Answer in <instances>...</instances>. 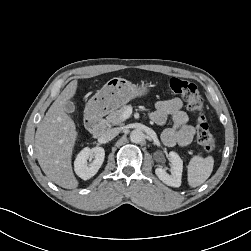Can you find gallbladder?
<instances>
[{
    "instance_id": "bac80fb5",
    "label": "gallbladder",
    "mask_w": 251,
    "mask_h": 251,
    "mask_svg": "<svg viewBox=\"0 0 251 251\" xmlns=\"http://www.w3.org/2000/svg\"><path fill=\"white\" fill-rule=\"evenodd\" d=\"M64 109L67 113H73L75 111V105L72 101H66L64 104Z\"/></svg>"
}]
</instances>
